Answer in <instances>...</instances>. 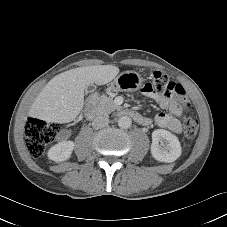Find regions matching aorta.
<instances>
[{
    "label": "aorta",
    "instance_id": "aorta-1",
    "mask_svg": "<svg viewBox=\"0 0 227 227\" xmlns=\"http://www.w3.org/2000/svg\"><path fill=\"white\" fill-rule=\"evenodd\" d=\"M132 125V120L128 116H121L118 119V126L123 129H127Z\"/></svg>",
    "mask_w": 227,
    "mask_h": 227
}]
</instances>
